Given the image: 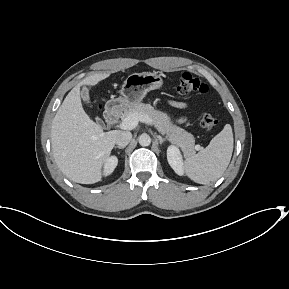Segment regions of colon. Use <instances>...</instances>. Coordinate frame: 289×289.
<instances>
[{
  "label": "colon",
  "instance_id": "colon-1",
  "mask_svg": "<svg viewBox=\"0 0 289 289\" xmlns=\"http://www.w3.org/2000/svg\"><path fill=\"white\" fill-rule=\"evenodd\" d=\"M176 90L181 95L190 93L205 94L208 92L209 87L205 82L193 76L191 73L184 72L179 78ZM216 124V118L209 113L204 114L201 118V126L207 131L213 129Z\"/></svg>",
  "mask_w": 289,
  "mask_h": 289
}]
</instances>
